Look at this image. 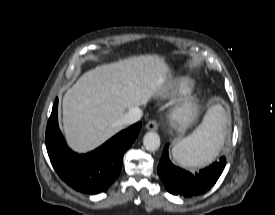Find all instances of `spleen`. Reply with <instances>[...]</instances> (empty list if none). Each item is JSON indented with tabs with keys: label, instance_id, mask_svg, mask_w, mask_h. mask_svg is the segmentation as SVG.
<instances>
[{
	"label": "spleen",
	"instance_id": "spleen-1",
	"mask_svg": "<svg viewBox=\"0 0 275 215\" xmlns=\"http://www.w3.org/2000/svg\"><path fill=\"white\" fill-rule=\"evenodd\" d=\"M227 122L224 108L221 105L211 106L197 129L174 145L173 158L185 167L211 163L224 143Z\"/></svg>",
	"mask_w": 275,
	"mask_h": 215
}]
</instances>
